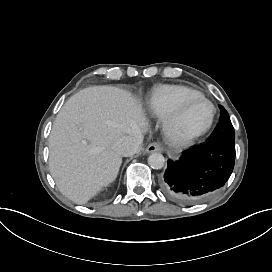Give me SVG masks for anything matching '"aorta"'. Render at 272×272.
Returning a JSON list of instances; mask_svg holds the SVG:
<instances>
[{
  "instance_id": "obj_1",
  "label": "aorta",
  "mask_w": 272,
  "mask_h": 272,
  "mask_svg": "<svg viewBox=\"0 0 272 272\" xmlns=\"http://www.w3.org/2000/svg\"><path fill=\"white\" fill-rule=\"evenodd\" d=\"M165 163L164 156L161 153L155 152L148 157V164L153 169L163 168Z\"/></svg>"
}]
</instances>
